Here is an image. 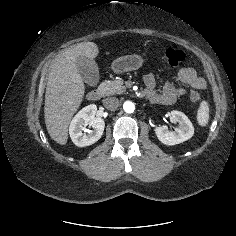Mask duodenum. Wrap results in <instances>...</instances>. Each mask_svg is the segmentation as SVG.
Returning <instances> with one entry per match:
<instances>
[{
    "instance_id": "duodenum-1",
    "label": "duodenum",
    "mask_w": 236,
    "mask_h": 236,
    "mask_svg": "<svg viewBox=\"0 0 236 236\" xmlns=\"http://www.w3.org/2000/svg\"><path fill=\"white\" fill-rule=\"evenodd\" d=\"M104 93V88L102 86H99L95 89H92L87 94V99L91 102L98 101Z\"/></svg>"
}]
</instances>
